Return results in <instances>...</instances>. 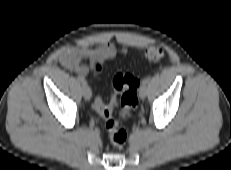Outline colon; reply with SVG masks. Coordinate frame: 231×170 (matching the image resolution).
Here are the masks:
<instances>
[{
	"label": "colon",
	"instance_id": "1",
	"mask_svg": "<svg viewBox=\"0 0 231 170\" xmlns=\"http://www.w3.org/2000/svg\"><path fill=\"white\" fill-rule=\"evenodd\" d=\"M164 53L160 46L153 45L145 50L144 56L148 61H158L163 57ZM104 63L98 62L94 67L95 75H99L103 70ZM139 82L131 74L118 73L112 80L113 95L111 96L110 105L102 102L99 95H96L93 100V108L106 119V129L109 139L115 147H122L127 140L126 130L119 122L112 117L113 105L116 103V95L121 94L120 116L124 119L128 118L138 104V89Z\"/></svg>",
	"mask_w": 231,
	"mask_h": 170
}]
</instances>
